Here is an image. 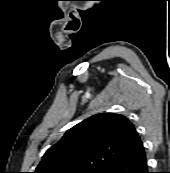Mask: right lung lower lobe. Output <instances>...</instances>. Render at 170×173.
Listing matches in <instances>:
<instances>
[{
	"mask_svg": "<svg viewBox=\"0 0 170 173\" xmlns=\"http://www.w3.org/2000/svg\"><path fill=\"white\" fill-rule=\"evenodd\" d=\"M102 173H149L144 147L135 154L112 164Z\"/></svg>",
	"mask_w": 170,
	"mask_h": 173,
	"instance_id": "98d812e1",
	"label": "right lung lower lobe"
}]
</instances>
